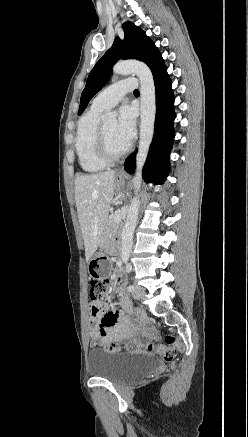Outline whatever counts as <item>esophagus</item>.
<instances>
[{"mask_svg":"<svg viewBox=\"0 0 248 437\" xmlns=\"http://www.w3.org/2000/svg\"><path fill=\"white\" fill-rule=\"evenodd\" d=\"M117 176L121 177L124 176V171L121 169L118 171Z\"/></svg>","mask_w":248,"mask_h":437,"instance_id":"obj_1","label":"esophagus"}]
</instances>
